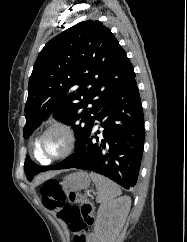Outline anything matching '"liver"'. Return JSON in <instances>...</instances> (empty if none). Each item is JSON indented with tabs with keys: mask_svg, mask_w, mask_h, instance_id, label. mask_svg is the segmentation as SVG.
<instances>
[{
	"mask_svg": "<svg viewBox=\"0 0 187 242\" xmlns=\"http://www.w3.org/2000/svg\"><path fill=\"white\" fill-rule=\"evenodd\" d=\"M54 173H49V174H46L45 176H50V175H53ZM42 177H39V179H41Z\"/></svg>",
	"mask_w": 187,
	"mask_h": 242,
	"instance_id": "1",
	"label": "liver"
}]
</instances>
